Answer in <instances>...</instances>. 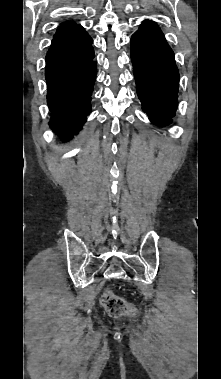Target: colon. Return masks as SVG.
Wrapping results in <instances>:
<instances>
[{
    "label": "colon",
    "instance_id": "1",
    "mask_svg": "<svg viewBox=\"0 0 221 379\" xmlns=\"http://www.w3.org/2000/svg\"><path fill=\"white\" fill-rule=\"evenodd\" d=\"M101 305L106 312L112 317H120L123 315H134L136 309L122 297L116 295L111 289L104 290L101 296Z\"/></svg>",
    "mask_w": 221,
    "mask_h": 379
}]
</instances>
